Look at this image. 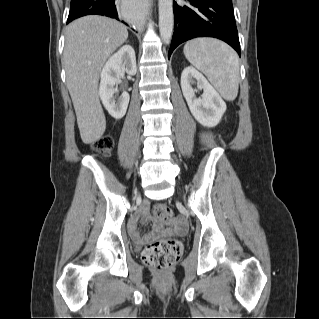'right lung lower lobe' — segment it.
<instances>
[{"mask_svg": "<svg viewBox=\"0 0 319 319\" xmlns=\"http://www.w3.org/2000/svg\"><path fill=\"white\" fill-rule=\"evenodd\" d=\"M118 0H74L71 2V9L67 19V24L74 19L85 15H103L117 20Z\"/></svg>", "mask_w": 319, "mask_h": 319, "instance_id": "1", "label": "right lung lower lobe"}]
</instances>
